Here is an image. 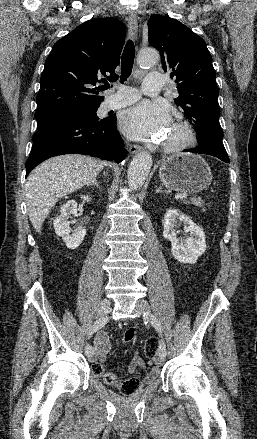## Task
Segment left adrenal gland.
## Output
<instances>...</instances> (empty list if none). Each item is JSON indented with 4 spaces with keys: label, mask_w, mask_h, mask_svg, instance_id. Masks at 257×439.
<instances>
[{
    "label": "left adrenal gland",
    "mask_w": 257,
    "mask_h": 439,
    "mask_svg": "<svg viewBox=\"0 0 257 439\" xmlns=\"http://www.w3.org/2000/svg\"><path fill=\"white\" fill-rule=\"evenodd\" d=\"M156 192H160V193H164V191L162 190V186L160 185L158 189H156Z\"/></svg>",
    "instance_id": "1"
}]
</instances>
